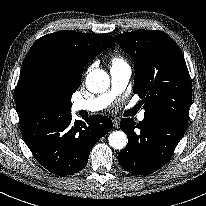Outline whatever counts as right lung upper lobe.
Segmentation results:
<instances>
[{
	"mask_svg": "<svg viewBox=\"0 0 206 206\" xmlns=\"http://www.w3.org/2000/svg\"><path fill=\"white\" fill-rule=\"evenodd\" d=\"M115 43L109 34L59 31L39 38L28 51L20 70L16 87V107L24 124L29 86L39 67L48 61L64 82L66 91H76L80 86L85 65Z\"/></svg>",
	"mask_w": 206,
	"mask_h": 206,
	"instance_id": "1",
	"label": "right lung upper lobe"
}]
</instances>
